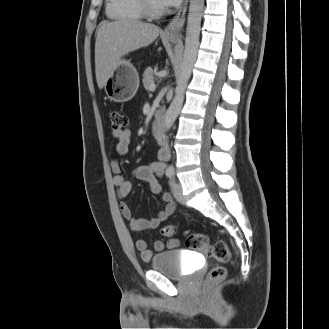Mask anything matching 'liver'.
Masks as SVG:
<instances>
[{
  "label": "liver",
  "instance_id": "liver-1",
  "mask_svg": "<svg viewBox=\"0 0 329 329\" xmlns=\"http://www.w3.org/2000/svg\"><path fill=\"white\" fill-rule=\"evenodd\" d=\"M160 28L136 20L102 22L95 42V74L102 89L121 58L130 52L150 45Z\"/></svg>",
  "mask_w": 329,
  "mask_h": 329
}]
</instances>
